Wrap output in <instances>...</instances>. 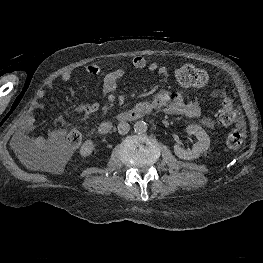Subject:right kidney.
Listing matches in <instances>:
<instances>
[{"mask_svg": "<svg viewBox=\"0 0 263 263\" xmlns=\"http://www.w3.org/2000/svg\"><path fill=\"white\" fill-rule=\"evenodd\" d=\"M93 150L94 143L91 140H86L80 148V155L83 157L89 156L92 154Z\"/></svg>", "mask_w": 263, "mask_h": 263, "instance_id": "ca27d5eb", "label": "right kidney"}]
</instances>
